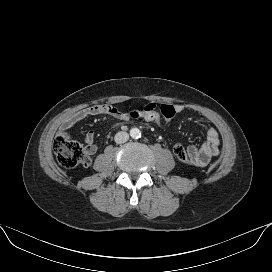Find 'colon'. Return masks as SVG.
<instances>
[{
    "mask_svg": "<svg viewBox=\"0 0 272 272\" xmlns=\"http://www.w3.org/2000/svg\"><path fill=\"white\" fill-rule=\"evenodd\" d=\"M176 113L175 106L170 104H163L158 108L145 105L140 109L129 112V117L132 120H143L157 127L165 128L170 124ZM53 148L59 164L64 168L72 169L78 165L88 166L90 164L87 150L75 141L59 136L55 139ZM173 152L182 163L194 165L187 150L182 145H175Z\"/></svg>",
    "mask_w": 272,
    "mask_h": 272,
    "instance_id": "obj_1",
    "label": "colon"
}]
</instances>
